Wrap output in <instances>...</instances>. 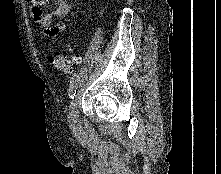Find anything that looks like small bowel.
<instances>
[{"instance_id":"obj_1","label":"small bowel","mask_w":221,"mask_h":174,"mask_svg":"<svg viewBox=\"0 0 221 174\" xmlns=\"http://www.w3.org/2000/svg\"><path fill=\"white\" fill-rule=\"evenodd\" d=\"M31 3V15L37 26L49 37H55L65 30V23L60 20L53 24L55 19H63L70 12V4L67 0H54L56 7L45 13L43 6L48 0H29Z\"/></svg>"}]
</instances>
